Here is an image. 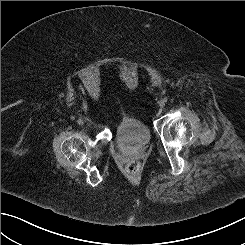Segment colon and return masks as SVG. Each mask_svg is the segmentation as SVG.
Returning <instances> with one entry per match:
<instances>
[{
	"instance_id": "1",
	"label": "colon",
	"mask_w": 245,
	"mask_h": 245,
	"mask_svg": "<svg viewBox=\"0 0 245 245\" xmlns=\"http://www.w3.org/2000/svg\"><path fill=\"white\" fill-rule=\"evenodd\" d=\"M139 169H140V164L135 160L128 162L126 165V171L129 174H135L137 171H139Z\"/></svg>"
}]
</instances>
